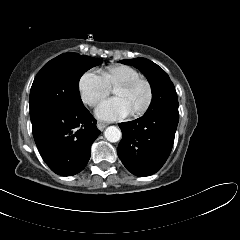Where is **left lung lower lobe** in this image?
Listing matches in <instances>:
<instances>
[{"instance_id": "left-lung-lower-lobe-1", "label": "left lung lower lobe", "mask_w": 240, "mask_h": 240, "mask_svg": "<svg viewBox=\"0 0 240 240\" xmlns=\"http://www.w3.org/2000/svg\"><path fill=\"white\" fill-rule=\"evenodd\" d=\"M178 120V109L162 107L119 124L123 137L117 153L129 172L149 176L164 165L174 143Z\"/></svg>"}]
</instances>
